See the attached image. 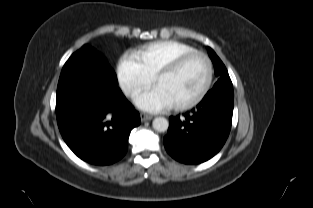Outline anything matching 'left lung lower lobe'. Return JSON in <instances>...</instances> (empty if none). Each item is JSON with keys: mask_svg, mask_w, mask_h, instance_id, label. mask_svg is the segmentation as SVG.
Masks as SVG:
<instances>
[{"mask_svg": "<svg viewBox=\"0 0 313 208\" xmlns=\"http://www.w3.org/2000/svg\"><path fill=\"white\" fill-rule=\"evenodd\" d=\"M232 87L211 89L182 117L171 116L163 142L167 152L185 164H199L216 155L226 142L232 123Z\"/></svg>", "mask_w": 313, "mask_h": 208, "instance_id": "obj_1", "label": "left lung lower lobe"}]
</instances>
